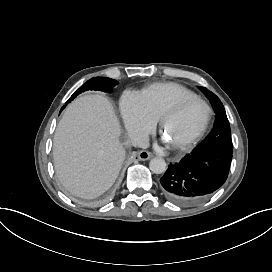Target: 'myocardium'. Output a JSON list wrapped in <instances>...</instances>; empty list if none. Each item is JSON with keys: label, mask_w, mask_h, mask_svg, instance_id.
Masks as SVG:
<instances>
[{"label": "myocardium", "mask_w": 272, "mask_h": 272, "mask_svg": "<svg viewBox=\"0 0 272 272\" xmlns=\"http://www.w3.org/2000/svg\"><path fill=\"white\" fill-rule=\"evenodd\" d=\"M191 105H199L203 109V118L200 125L188 136L186 141L183 144V149H187L191 146L205 131L208 126L211 109L209 105L202 99L194 97V98H177L174 100L167 108H165L161 114V125L165 129L166 128V118L170 114H177Z\"/></svg>", "instance_id": "1"}]
</instances>
